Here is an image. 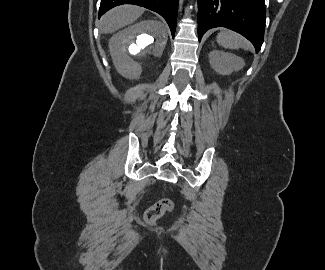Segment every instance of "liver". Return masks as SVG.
<instances>
[{"label": "liver", "instance_id": "obj_1", "mask_svg": "<svg viewBox=\"0 0 325 270\" xmlns=\"http://www.w3.org/2000/svg\"><path fill=\"white\" fill-rule=\"evenodd\" d=\"M144 12L142 7L123 5L111 9L100 20V31L104 34L113 33L135 22Z\"/></svg>", "mask_w": 325, "mask_h": 270}]
</instances>
